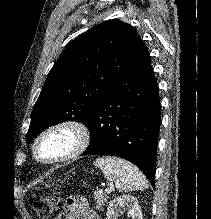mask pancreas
<instances>
[{"label": "pancreas", "instance_id": "obj_1", "mask_svg": "<svg viewBox=\"0 0 211 219\" xmlns=\"http://www.w3.org/2000/svg\"><path fill=\"white\" fill-rule=\"evenodd\" d=\"M94 200H95V204H96V208L98 210H102L103 206L105 204V202L107 201L108 197L106 195H103L99 192H94Z\"/></svg>", "mask_w": 211, "mask_h": 219}]
</instances>
